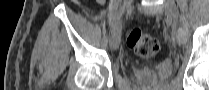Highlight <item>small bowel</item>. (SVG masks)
Here are the masks:
<instances>
[{
	"instance_id": "small-bowel-1",
	"label": "small bowel",
	"mask_w": 209,
	"mask_h": 90,
	"mask_svg": "<svg viewBox=\"0 0 209 90\" xmlns=\"http://www.w3.org/2000/svg\"><path fill=\"white\" fill-rule=\"evenodd\" d=\"M99 3H100V4H104V3H105V1L100 0V1H99Z\"/></svg>"
}]
</instances>
